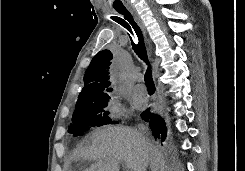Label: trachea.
<instances>
[{
	"instance_id": "3493384b",
	"label": "trachea",
	"mask_w": 245,
	"mask_h": 171,
	"mask_svg": "<svg viewBox=\"0 0 245 171\" xmlns=\"http://www.w3.org/2000/svg\"><path fill=\"white\" fill-rule=\"evenodd\" d=\"M114 9L120 13L123 18H114L113 20L123 26L131 35V44L132 48L135 51V53L139 56L141 60L146 62L148 64V68L145 73V84L146 86H154L152 73H151V66L149 65L148 56L144 44L143 35L141 32V29L136 24V22L133 19L132 14L129 12V10L124 6V4L117 0L113 3Z\"/></svg>"
}]
</instances>
